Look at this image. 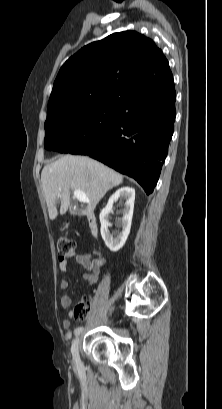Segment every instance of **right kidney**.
I'll list each match as a JSON object with an SVG mask.
<instances>
[{"label": "right kidney", "mask_w": 222, "mask_h": 409, "mask_svg": "<svg viewBox=\"0 0 222 409\" xmlns=\"http://www.w3.org/2000/svg\"><path fill=\"white\" fill-rule=\"evenodd\" d=\"M119 199L125 201L124 208L121 210L122 218L118 222V226L122 228V231L110 233L108 229L109 215L113 212V204ZM134 200L135 190L131 187H122L111 195L106 207L100 213L101 236L105 245L113 252L120 250L128 238L132 223Z\"/></svg>", "instance_id": "1"}]
</instances>
